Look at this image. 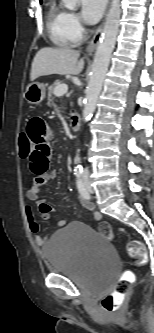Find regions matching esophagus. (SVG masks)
I'll return each mask as SVG.
<instances>
[{
  "instance_id": "1",
  "label": "esophagus",
  "mask_w": 154,
  "mask_h": 333,
  "mask_svg": "<svg viewBox=\"0 0 154 333\" xmlns=\"http://www.w3.org/2000/svg\"><path fill=\"white\" fill-rule=\"evenodd\" d=\"M103 26H104V21L101 23V25L98 27L94 37L91 39L88 47H87V52L91 55L93 53V51L95 50L99 39L102 35V31H103Z\"/></svg>"
}]
</instances>
